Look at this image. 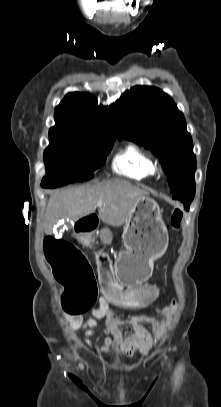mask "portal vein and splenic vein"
I'll return each mask as SVG.
<instances>
[{
    "label": "portal vein and splenic vein",
    "mask_w": 221,
    "mask_h": 407,
    "mask_svg": "<svg viewBox=\"0 0 221 407\" xmlns=\"http://www.w3.org/2000/svg\"><path fill=\"white\" fill-rule=\"evenodd\" d=\"M97 205H98V206H102L103 203H102L101 201H99V202L97 203Z\"/></svg>",
    "instance_id": "18ae733b"
}]
</instances>
